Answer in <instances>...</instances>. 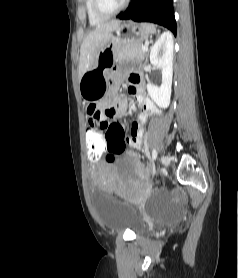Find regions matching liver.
Returning a JSON list of instances; mask_svg holds the SVG:
<instances>
[{"label":"liver","instance_id":"liver-1","mask_svg":"<svg viewBox=\"0 0 238 278\" xmlns=\"http://www.w3.org/2000/svg\"><path fill=\"white\" fill-rule=\"evenodd\" d=\"M121 24L119 20L101 23L86 36L80 49L79 80L96 62L98 54L108 45L112 32Z\"/></svg>","mask_w":238,"mask_h":278}]
</instances>
